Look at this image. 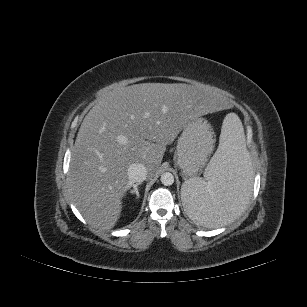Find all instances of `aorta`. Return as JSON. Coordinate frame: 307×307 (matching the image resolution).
<instances>
[{"label":"aorta","mask_w":307,"mask_h":307,"mask_svg":"<svg viewBox=\"0 0 307 307\" xmlns=\"http://www.w3.org/2000/svg\"><path fill=\"white\" fill-rule=\"evenodd\" d=\"M161 183L165 186H170L174 183V176L170 172H165L161 175Z\"/></svg>","instance_id":"obj_1"}]
</instances>
